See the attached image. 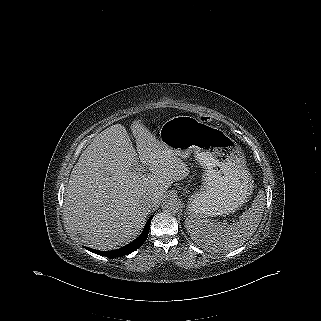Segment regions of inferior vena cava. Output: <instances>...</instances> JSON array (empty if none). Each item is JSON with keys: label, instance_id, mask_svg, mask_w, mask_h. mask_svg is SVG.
<instances>
[{"label": "inferior vena cava", "instance_id": "602c4592", "mask_svg": "<svg viewBox=\"0 0 321 321\" xmlns=\"http://www.w3.org/2000/svg\"><path fill=\"white\" fill-rule=\"evenodd\" d=\"M153 201L154 199L152 197H149L147 196L145 199H144V203L147 205V206H152L153 205Z\"/></svg>", "mask_w": 321, "mask_h": 321}]
</instances>
